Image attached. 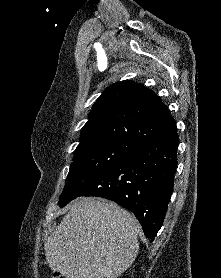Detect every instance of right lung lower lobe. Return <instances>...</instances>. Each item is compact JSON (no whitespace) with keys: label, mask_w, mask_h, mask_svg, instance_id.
<instances>
[{"label":"right lung lower lobe","mask_w":221,"mask_h":278,"mask_svg":"<svg viewBox=\"0 0 221 278\" xmlns=\"http://www.w3.org/2000/svg\"><path fill=\"white\" fill-rule=\"evenodd\" d=\"M178 142L174 131L133 144L123 160L84 187L77 197L97 196L116 202L132 211L144 234L154 239L174 186Z\"/></svg>","instance_id":"obj_1"}]
</instances>
